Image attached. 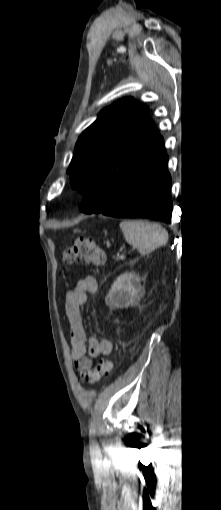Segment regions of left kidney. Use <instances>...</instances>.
Listing matches in <instances>:
<instances>
[{"instance_id":"5707ae66","label":"left kidney","mask_w":221,"mask_h":510,"mask_svg":"<svg viewBox=\"0 0 221 510\" xmlns=\"http://www.w3.org/2000/svg\"><path fill=\"white\" fill-rule=\"evenodd\" d=\"M140 282L141 279L137 274L125 273L120 275L111 286L106 297L107 302L118 308L129 307L141 291Z\"/></svg>"}]
</instances>
